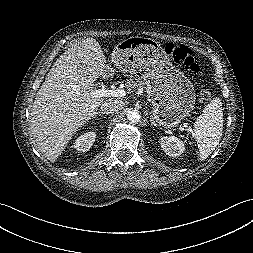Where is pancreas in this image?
Returning <instances> with one entry per match:
<instances>
[{"instance_id":"pancreas-1","label":"pancreas","mask_w":253,"mask_h":253,"mask_svg":"<svg viewBox=\"0 0 253 253\" xmlns=\"http://www.w3.org/2000/svg\"><path fill=\"white\" fill-rule=\"evenodd\" d=\"M144 86V82L140 81L139 79H130L126 82V87L128 88V91H137L139 89H142Z\"/></svg>"}]
</instances>
